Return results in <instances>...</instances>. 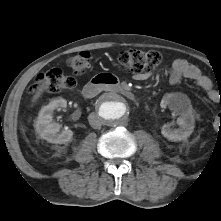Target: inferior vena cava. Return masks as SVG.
Segmentation results:
<instances>
[{
    "label": "inferior vena cava",
    "mask_w": 221,
    "mask_h": 221,
    "mask_svg": "<svg viewBox=\"0 0 221 221\" xmlns=\"http://www.w3.org/2000/svg\"><path fill=\"white\" fill-rule=\"evenodd\" d=\"M88 121L92 128L94 129L101 128L102 124H101L99 116L96 113H90L88 116Z\"/></svg>",
    "instance_id": "inferior-vena-cava-1"
}]
</instances>
